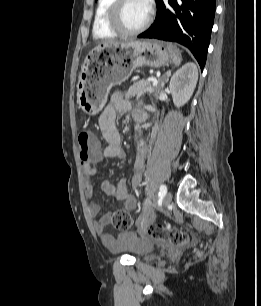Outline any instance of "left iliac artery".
<instances>
[{
  "mask_svg": "<svg viewBox=\"0 0 261 306\" xmlns=\"http://www.w3.org/2000/svg\"><path fill=\"white\" fill-rule=\"evenodd\" d=\"M166 193H167V187H166V185L162 184L160 186L159 196L164 197Z\"/></svg>",
  "mask_w": 261,
  "mask_h": 306,
  "instance_id": "44dca946",
  "label": "left iliac artery"
}]
</instances>
